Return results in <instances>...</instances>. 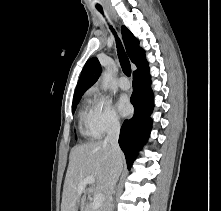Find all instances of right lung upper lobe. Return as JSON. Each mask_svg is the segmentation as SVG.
<instances>
[{"label":"right lung upper lobe","instance_id":"right-lung-upper-lobe-1","mask_svg":"<svg viewBox=\"0 0 221 211\" xmlns=\"http://www.w3.org/2000/svg\"><path fill=\"white\" fill-rule=\"evenodd\" d=\"M121 33L127 54L137 67L136 71L148 66V62L145 59V52L142 48H139L138 39H136L125 26L121 27ZM101 71L98 59H89L82 70L74 97L82 96L83 93L97 81Z\"/></svg>","mask_w":221,"mask_h":211}]
</instances>
